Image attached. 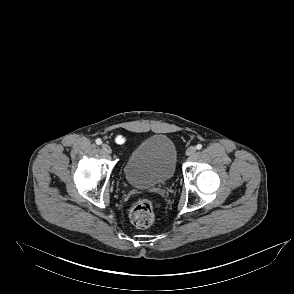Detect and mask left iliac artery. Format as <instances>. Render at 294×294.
<instances>
[{
  "mask_svg": "<svg viewBox=\"0 0 294 294\" xmlns=\"http://www.w3.org/2000/svg\"><path fill=\"white\" fill-rule=\"evenodd\" d=\"M196 148H197V150H200V149L202 148V145H201V144H198V145L196 146Z\"/></svg>",
  "mask_w": 294,
  "mask_h": 294,
  "instance_id": "1",
  "label": "left iliac artery"
}]
</instances>
